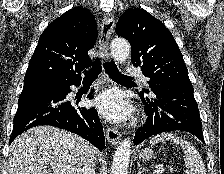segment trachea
Masks as SVG:
<instances>
[{"label":"trachea","instance_id":"1","mask_svg":"<svg viewBox=\"0 0 224 174\" xmlns=\"http://www.w3.org/2000/svg\"><path fill=\"white\" fill-rule=\"evenodd\" d=\"M105 68H106V73L109 75V77L114 80V81H132L133 78L126 76L124 74H122L115 62L111 61V62H107L104 64ZM102 68H101V61L100 58H97L95 60V62L93 63V67L91 69H89L87 72H85V77L84 80H95L99 73L101 72Z\"/></svg>","mask_w":224,"mask_h":174}]
</instances>
